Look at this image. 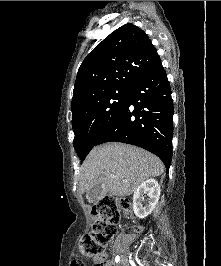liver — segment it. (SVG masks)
<instances>
[{
    "label": "liver",
    "instance_id": "6515ba94",
    "mask_svg": "<svg viewBox=\"0 0 221 266\" xmlns=\"http://www.w3.org/2000/svg\"><path fill=\"white\" fill-rule=\"evenodd\" d=\"M163 172L162 161L152 153L123 143H106L93 148L82 164L79 190L84 193L101 184L111 196H128L146 179Z\"/></svg>",
    "mask_w": 221,
    "mask_h": 266
}]
</instances>
